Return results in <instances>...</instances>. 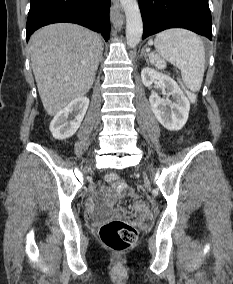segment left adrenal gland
<instances>
[{
	"mask_svg": "<svg viewBox=\"0 0 233 284\" xmlns=\"http://www.w3.org/2000/svg\"><path fill=\"white\" fill-rule=\"evenodd\" d=\"M141 55H144L145 59L148 61V59H147V53H146L144 50H142Z\"/></svg>",
	"mask_w": 233,
	"mask_h": 284,
	"instance_id": "obj_1",
	"label": "left adrenal gland"
}]
</instances>
